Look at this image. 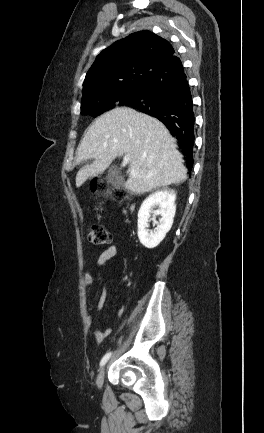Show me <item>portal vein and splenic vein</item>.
Masks as SVG:
<instances>
[{
  "label": "portal vein and splenic vein",
  "mask_w": 264,
  "mask_h": 433,
  "mask_svg": "<svg viewBox=\"0 0 264 433\" xmlns=\"http://www.w3.org/2000/svg\"><path fill=\"white\" fill-rule=\"evenodd\" d=\"M128 162H129V156L126 155V156L123 158L122 165H123V166H126V165L128 164ZM130 174H131V175H135V174H136V171H135L134 169H131Z\"/></svg>",
  "instance_id": "obj_1"
}]
</instances>
